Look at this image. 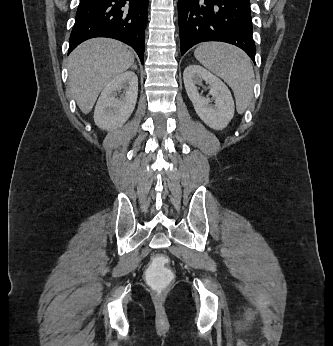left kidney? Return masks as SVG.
<instances>
[{
	"instance_id": "1",
	"label": "left kidney",
	"mask_w": 333,
	"mask_h": 346,
	"mask_svg": "<svg viewBox=\"0 0 333 346\" xmlns=\"http://www.w3.org/2000/svg\"><path fill=\"white\" fill-rule=\"evenodd\" d=\"M184 85L189 99L200 119L210 128L222 130L234 116V101L228 87L215 75L200 65H189L183 73ZM205 81L209 84L210 94L215 98L211 106L210 99L199 95L197 85Z\"/></svg>"
}]
</instances>
